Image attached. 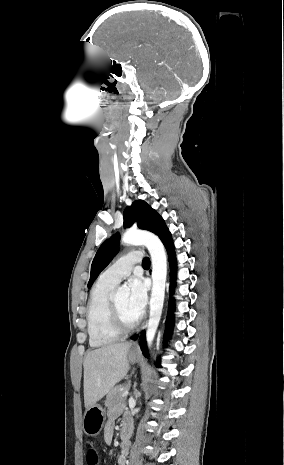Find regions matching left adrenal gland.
<instances>
[{"mask_svg":"<svg viewBox=\"0 0 284 465\" xmlns=\"http://www.w3.org/2000/svg\"><path fill=\"white\" fill-rule=\"evenodd\" d=\"M137 383H134V387H136Z\"/></svg>","mask_w":284,"mask_h":465,"instance_id":"left-adrenal-gland-1","label":"left adrenal gland"}]
</instances>
